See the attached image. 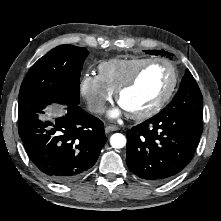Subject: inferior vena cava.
Instances as JSON below:
<instances>
[{"label": "inferior vena cava", "instance_id": "obj_1", "mask_svg": "<svg viewBox=\"0 0 221 221\" xmlns=\"http://www.w3.org/2000/svg\"><path fill=\"white\" fill-rule=\"evenodd\" d=\"M88 110L93 113H103L105 111V104L102 101L93 102L88 105Z\"/></svg>", "mask_w": 221, "mask_h": 221}]
</instances>
